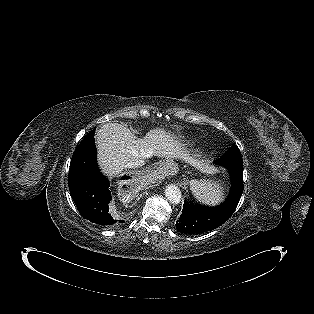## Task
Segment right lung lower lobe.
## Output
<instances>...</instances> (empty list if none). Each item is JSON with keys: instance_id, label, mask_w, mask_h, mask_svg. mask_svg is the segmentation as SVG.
Wrapping results in <instances>:
<instances>
[{"instance_id": "98d812e1", "label": "right lung lower lobe", "mask_w": 314, "mask_h": 314, "mask_svg": "<svg viewBox=\"0 0 314 314\" xmlns=\"http://www.w3.org/2000/svg\"><path fill=\"white\" fill-rule=\"evenodd\" d=\"M127 178L129 177H124ZM68 185L77 209L85 219L104 227H113L123 222L109 213L108 204L112 199L110 184L98 168L94 136L75 149Z\"/></svg>"}]
</instances>
